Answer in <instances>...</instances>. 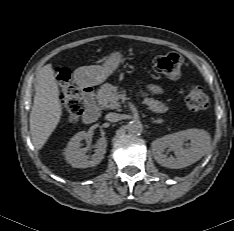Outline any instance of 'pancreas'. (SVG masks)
Returning a JSON list of instances; mask_svg holds the SVG:
<instances>
[{"label": "pancreas", "mask_w": 234, "mask_h": 231, "mask_svg": "<svg viewBox=\"0 0 234 231\" xmlns=\"http://www.w3.org/2000/svg\"><path fill=\"white\" fill-rule=\"evenodd\" d=\"M118 88L117 86H113L110 83H106L100 87L97 91L96 99L100 108H110L117 109L119 107L118 100L115 99L118 96ZM140 94L144 97L143 104L148 106V109L155 113H165L168 110V107L153 98H148V94L144 92H140Z\"/></svg>", "instance_id": "pancreas-1"}]
</instances>
